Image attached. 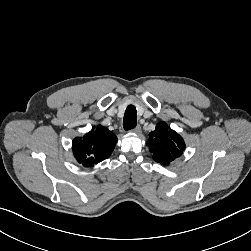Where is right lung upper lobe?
<instances>
[{"label": "right lung upper lobe", "instance_id": "1", "mask_svg": "<svg viewBox=\"0 0 251 251\" xmlns=\"http://www.w3.org/2000/svg\"><path fill=\"white\" fill-rule=\"evenodd\" d=\"M116 143L115 134L99 125L83 137H76L73 140L72 149L74 157L79 163L85 167H92L107 159L113 152Z\"/></svg>", "mask_w": 251, "mask_h": 251}]
</instances>
